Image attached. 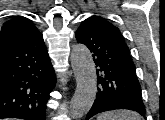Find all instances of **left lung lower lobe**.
<instances>
[{
    "label": "left lung lower lobe",
    "instance_id": "left-lung-lower-lobe-1",
    "mask_svg": "<svg viewBox=\"0 0 165 120\" xmlns=\"http://www.w3.org/2000/svg\"><path fill=\"white\" fill-rule=\"evenodd\" d=\"M75 37L93 53L97 67L98 93L86 120L114 109L134 110L145 116L141 86L123 38L103 29L93 17L81 23Z\"/></svg>",
    "mask_w": 165,
    "mask_h": 120
}]
</instances>
